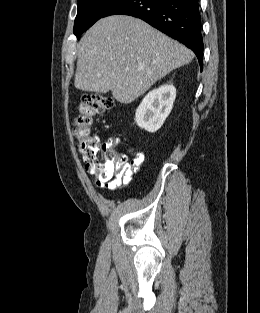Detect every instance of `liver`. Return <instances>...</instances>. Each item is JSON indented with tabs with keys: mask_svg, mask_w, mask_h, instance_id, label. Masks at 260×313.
Here are the masks:
<instances>
[{
	"mask_svg": "<svg viewBox=\"0 0 260 313\" xmlns=\"http://www.w3.org/2000/svg\"><path fill=\"white\" fill-rule=\"evenodd\" d=\"M193 52L141 19L113 15L97 21L82 37L74 84L131 103L157 80L186 65Z\"/></svg>",
	"mask_w": 260,
	"mask_h": 313,
	"instance_id": "obj_1",
	"label": "liver"
}]
</instances>
